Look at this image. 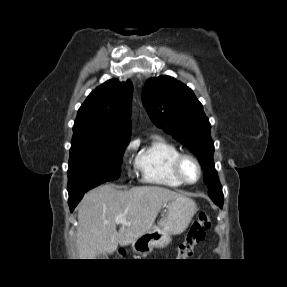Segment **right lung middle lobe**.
Returning a JSON list of instances; mask_svg holds the SVG:
<instances>
[{"label": "right lung middle lobe", "mask_w": 287, "mask_h": 287, "mask_svg": "<svg viewBox=\"0 0 287 287\" xmlns=\"http://www.w3.org/2000/svg\"><path fill=\"white\" fill-rule=\"evenodd\" d=\"M128 142L126 138H99L88 131L74 132L67 172L68 193L92 183L118 179Z\"/></svg>", "instance_id": "1"}]
</instances>
